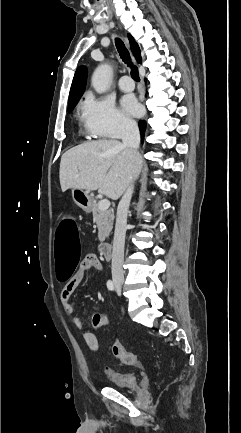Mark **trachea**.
I'll use <instances>...</instances> for the list:
<instances>
[{"mask_svg": "<svg viewBox=\"0 0 241 433\" xmlns=\"http://www.w3.org/2000/svg\"><path fill=\"white\" fill-rule=\"evenodd\" d=\"M115 44H116V48L119 52L121 59L123 60L124 63H126L131 68V77L136 81H140L138 68L132 64L129 51L125 47L122 40L119 38H116Z\"/></svg>", "mask_w": 241, "mask_h": 433, "instance_id": "3493384b", "label": "trachea"}]
</instances>
